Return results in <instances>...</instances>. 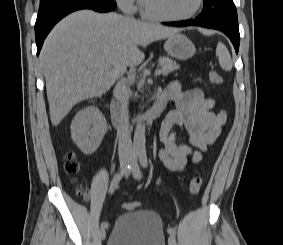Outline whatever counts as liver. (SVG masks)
Segmentation results:
<instances>
[{
	"label": "liver",
	"instance_id": "liver-1",
	"mask_svg": "<svg viewBox=\"0 0 283 245\" xmlns=\"http://www.w3.org/2000/svg\"><path fill=\"white\" fill-rule=\"evenodd\" d=\"M178 32L116 13H71L49 33L39 62L50 119L57 126L75 104L106 93L127 67L145 58L139 49Z\"/></svg>",
	"mask_w": 283,
	"mask_h": 245
}]
</instances>
